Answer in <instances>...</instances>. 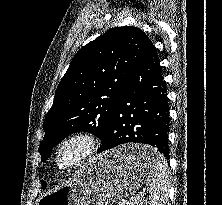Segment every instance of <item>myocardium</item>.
Here are the masks:
<instances>
[{"label": "myocardium", "instance_id": "myocardium-1", "mask_svg": "<svg viewBox=\"0 0 222 205\" xmlns=\"http://www.w3.org/2000/svg\"><path fill=\"white\" fill-rule=\"evenodd\" d=\"M97 143L96 135L90 131L78 130L69 134L63 138L55 148L54 161L56 166L61 170H71L78 167L93 155ZM70 144H78L80 146V151L73 161L64 164L61 162L60 155L62 150Z\"/></svg>", "mask_w": 222, "mask_h": 205}]
</instances>
